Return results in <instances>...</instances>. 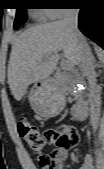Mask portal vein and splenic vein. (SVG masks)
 <instances>
[{
	"label": "portal vein and splenic vein",
	"mask_w": 104,
	"mask_h": 169,
	"mask_svg": "<svg viewBox=\"0 0 104 169\" xmlns=\"http://www.w3.org/2000/svg\"><path fill=\"white\" fill-rule=\"evenodd\" d=\"M61 65L66 70H70V69L73 68V64L70 61H68V60L62 61Z\"/></svg>",
	"instance_id": "18ae733b"
}]
</instances>
